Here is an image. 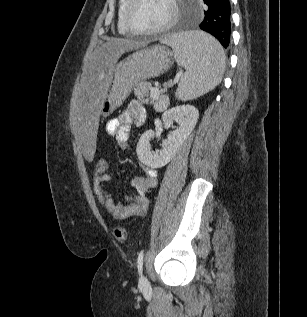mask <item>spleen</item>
I'll return each instance as SVG.
<instances>
[{
    "instance_id": "obj_1",
    "label": "spleen",
    "mask_w": 307,
    "mask_h": 317,
    "mask_svg": "<svg viewBox=\"0 0 307 317\" xmlns=\"http://www.w3.org/2000/svg\"><path fill=\"white\" fill-rule=\"evenodd\" d=\"M159 42L172 47L177 63L185 69L175 93L179 100L196 99L221 82L226 56L220 43L211 35L201 31L166 33Z\"/></svg>"
}]
</instances>
